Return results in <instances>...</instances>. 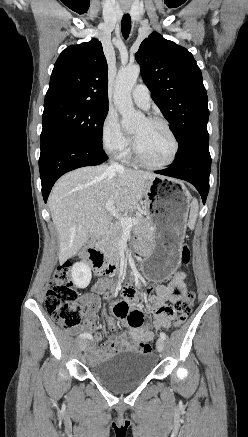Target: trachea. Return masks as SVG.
Instances as JSON below:
<instances>
[{
  "label": "trachea",
  "instance_id": "1",
  "mask_svg": "<svg viewBox=\"0 0 248 437\" xmlns=\"http://www.w3.org/2000/svg\"><path fill=\"white\" fill-rule=\"evenodd\" d=\"M121 30L123 37L127 39L131 30V17L129 14H125L123 16L121 21Z\"/></svg>",
  "mask_w": 248,
  "mask_h": 437
}]
</instances>
